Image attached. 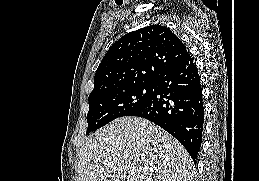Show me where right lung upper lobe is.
<instances>
[{
  "mask_svg": "<svg viewBox=\"0 0 259 181\" xmlns=\"http://www.w3.org/2000/svg\"><path fill=\"white\" fill-rule=\"evenodd\" d=\"M188 55L181 40L164 26L151 25L130 32L116 41L103 57L89 96L109 89L153 83Z\"/></svg>",
  "mask_w": 259,
  "mask_h": 181,
  "instance_id": "1",
  "label": "right lung upper lobe"
}]
</instances>
